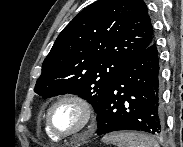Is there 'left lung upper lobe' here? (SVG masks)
<instances>
[{
    "instance_id": "left-lung-upper-lobe-1",
    "label": "left lung upper lobe",
    "mask_w": 183,
    "mask_h": 147,
    "mask_svg": "<svg viewBox=\"0 0 183 147\" xmlns=\"http://www.w3.org/2000/svg\"><path fill=\"white\" fill-rule=\"evenodd\" d=\"M153 40L143 0H98L61 31L35 92L44 99L76 94L97 111L120 71Z\"/></svg>"
}]
</instances>
